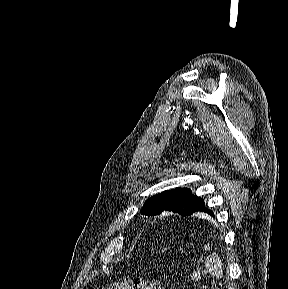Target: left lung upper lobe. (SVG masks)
<instances>
[{"label":"left lung upper lobe","instance_id":"obj_1","mask_svg":"<svg viewBox=\"0 0 288 289\" xmlns=\"http://www.w3.org/2000/svg\"><path fill=\"white\" fill-rule=\"evenodd\" d=\"M203 199L191 193L187 188H176L156 194L145 201L141 213L147 216L159 215L163 211H172L189 216Z\"/></svg>","mask_w":288,"mask_h":289}]
</instances>
